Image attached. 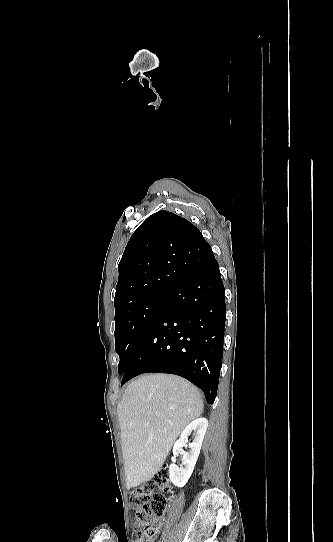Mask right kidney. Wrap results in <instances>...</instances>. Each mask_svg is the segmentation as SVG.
<instances>
[{"mask_svg":"<svg viewBox=\"0 0 333 542\" xmlns=\"http://www.w3.org/2000/svg\"><path fill=\"white\" fill-rule=\"evenodd\" d=\"M207 428L208 422L206 418H197V420H193V422L183 430L179 440L175 442L172 452L173 456H178V454H180L179 450L184 448V446H187L188 436L194 432V440L192 444H189L188 446L190 452H184L181 466L171 464L169 468V478L172 484L177 486V488H184L190 476H192Z\"/></svg>","mask_w":333,"mask_h":542,"instance_id":"1","label":"right kidney"}]
</instances>
